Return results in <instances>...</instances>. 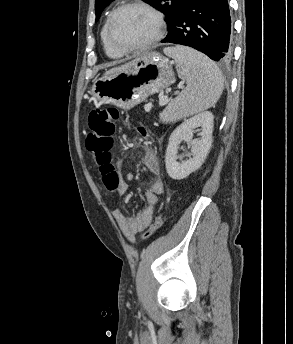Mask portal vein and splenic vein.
<instances>
[{"instance_id": "18ae733b", "label": "portal vein and splenic vein", "mask_w": 293, "mask_h": 344, "mask_svg": "<svg viewBox=\"0 0 293 344\" xmlns=\"http://www.w3.org/2000/svg\"><path fill=\"white\" fill-rule=\"evenodd\" d=\"M168 102V96H161L159 100V105L163 106Z\"/></svg>"}]
</instances>
